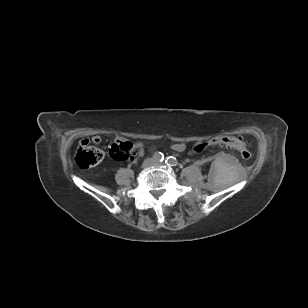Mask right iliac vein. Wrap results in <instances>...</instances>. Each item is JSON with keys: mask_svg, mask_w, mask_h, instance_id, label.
Instances as JSON below:
<instances>
[{"mask_svg": "<svg viewBox=\"0 0 308 308\" xmlns=\"http://www.w3.org/2000/svg\"><path fill=\"white\" fill-rule=\"evenodd\" d=\"M153 160L148 158V159H145L141 165L142 168H147L149 166H151L153 164Z\"/></svg>", "mask_w": 308, "mask_h": 308, "instance_id": "63e3f726", "label": "right iliac vein"}]
</instances>
